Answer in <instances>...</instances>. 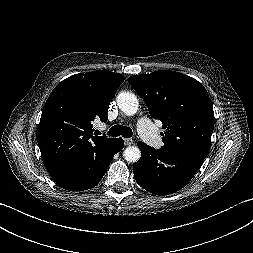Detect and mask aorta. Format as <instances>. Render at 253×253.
I'll use <instances>...</instances> for the list:
<instances>
[{"instance_id": "1", "label": "aorta", "mask_w": 253, "mask_h": 253, "mask_svg": "<svg viewBox=\"0 0 253 253\" xmlns=\"http://www.w3.org/2000/svg\"><path fill=\"white\" fill-rule=\"evenodd\" d=\"M117 104L121 111L127 116L136 114L139 107L136 95L131 92H121L117 96ZM123 156L126 161L134 163L140 159L141 151L138 147L129 146L124 150Z\"/></svg>"}]
</instances>
